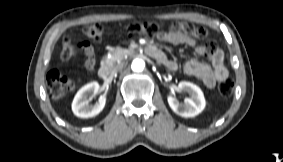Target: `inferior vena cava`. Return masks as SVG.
Masks as SVG:
<instances>
[{
    "label": "inferior vena cava",
    "mask_w": 283,
    "mask_h": 162,
    "mask_svg": "<svg viewBox=\"0 0 283 162\" xmlns=\"http://www.w3.org/2000/svg\"><path fill=\"white\" fill-rule=\"evenodd\" d=\"M121 68H122L121 65L116 66V67H114V68L112 69L111 73H112V74H115V73H117Z\"/></svg>",
    "instance_id": "obj_1"
}]
</instances>
